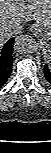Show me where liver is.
<instances>
[{
  "label": "liver",
  "mask_w": 51,
  "mask_h": 153,
  "mask_svg": "<svg viewBox=\"0 0 51 153\" xmlns=\"http://www.w3.org/2000/svg\"><path fill=\"white\" fill-rule=\"evenodd\" d=\"M31 20L50 26L51 0H0L1 46L8 39L4 36V31Z\"/></svg>",
  "instance_id": "liver-1"
}]
</instances>
